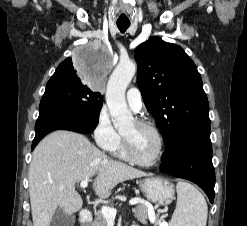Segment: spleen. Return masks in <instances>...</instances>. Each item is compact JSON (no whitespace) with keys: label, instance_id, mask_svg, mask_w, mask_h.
I'll list each match as a JSON object with an SVG mask.
<instances>
[{"label":"spleen","instance_id":"spleen-1","mask_svg":"<svg viewBox=\"0 0 247 226\" xmlns=\"http://www.w3.org/2000/svg\"><path fill=\"white\" fill-rule=\"evenodd\" d=\"M177 205L170 226H206L207 203L191 184L179 181L176 185Z\"/></svg>","mask_w":247,"mask_h":226}]
</instances>
